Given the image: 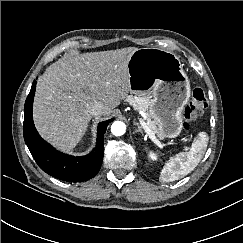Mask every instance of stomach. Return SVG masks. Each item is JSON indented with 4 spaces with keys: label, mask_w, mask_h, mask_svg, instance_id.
<instances>
[{
    "label": "stomach",
    "mask_w": 243,
    "mask_h": 243,
    "mask_svg": "<svg viewBox=\"0 0 243 243\" xmlns=\"http://www.w3.org/2000/svg\"><path fill=\"white\" fill-rule=\"evenodd\" d=\"M130 90L151 94L150 117L163 138H175L182 130L180 111L190 97V83L180 59L160 48H141L128 62Z\"/></svg>",
    "instance_id": "1"
}]
</instances>
